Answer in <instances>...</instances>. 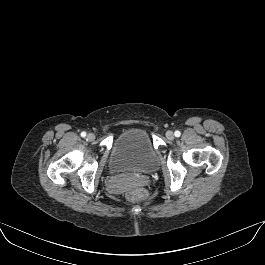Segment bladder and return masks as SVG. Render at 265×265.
I'll return each mask as SVG.
<instances>
[{
  "instance_id": "1",
  "label": "bladder",
  "mask_w": 265,
  "mask_h": 265,
  "mask_svg": "<svg viewBox=\"0 0 265 265\" xmlns=\"http://www.w3.org/2000/svg\"><path fill=\"white\" fill-rule=\"evenodd\" d=\"M159 166V157L147 132L132 127L121 132L114 140L109 157V169L119 174L129 171L149 172Z\"/></svg>"
}]
</instances>
